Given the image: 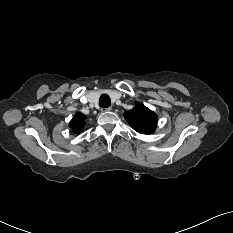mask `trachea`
I'll use <instances>...</instances> for the list:
<instances>
[{
	"instance_id": "1",
	"label": "trachea",
	"mask_w": 233,
	"mask_h": 233,
	"mask_svg": "<svg viewBox=\"0 0 233 233\" xmlns=\"http://www.w3.org/2000/svg\"><path fill=\"white\" fill-rule=\"evenodd\" d=\"M99 105L102 108H107L111 105V100L110 97L106 94L101 95L100 99H99Z\"/></svg>"
}]
</instances>
